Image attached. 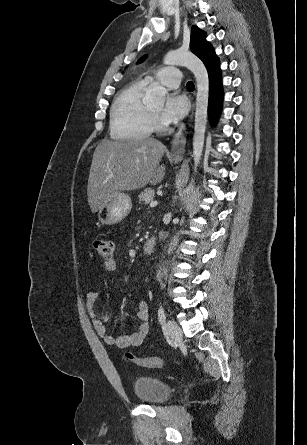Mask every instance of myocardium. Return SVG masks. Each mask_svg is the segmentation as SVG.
<instances>
[{"mask_svg": "<svg viewBox=\"0 0 307 445\" xmlns=\"http://www.w3.org/2000/svg\"><path fill=\"white\" fill-rule=\"evenodd\" d=\"M147 109H148V113H149L151 122L153 123L154 127H155L156 129L163 130V129L165 128V126H164L163 122L161 121L160 116H159L158 114H155V113L151 110L150 107L147 108ZM155 139H158V138H155Z\"/></svg>", "mask_w": 307, "mask_h": 445, "instance_id": "myocardium-1", "label": "myocardium"}]
</instances>
